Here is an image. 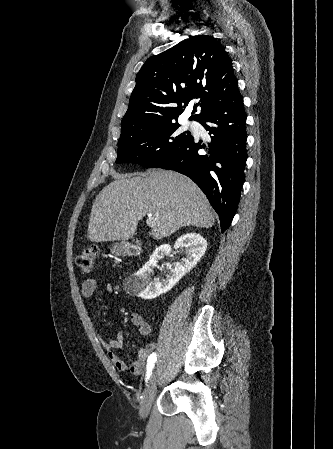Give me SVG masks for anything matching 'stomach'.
<instances>
[{
	"label": "stomach",
	"mask_w": 333,
	"mask_h": 449,
	"mask_svg": "<svg viewBox=\"0 0 333 449\" xmlns=\"http://www.w3.org/2000/svg\"><path fill=\"white\" fill-rule=\"evenodd\" d=\"M111 252H112L113 254L120 255V254H122V252H123V248H122L121 245L115 244V245L111 248Z\"/></svg>",
	"instance_id": "0dacf381"
}]
</instances>
